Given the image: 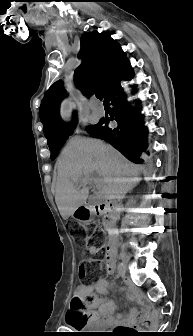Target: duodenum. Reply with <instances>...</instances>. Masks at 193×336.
Segmentation results:
<instances>
[{"instance_id":"obj_1","label":"duodenum","mask_w":193,"mask_h":336,"mask_svg":"<svg viewBox=\"0 0 193 336\" xmlns=\"http://www.w3.org/2000/svg\"><path fill=\"white\" fill-rule=\"evenodd\" d=\"M93 210L98 216L109 217L115 212V205L111 202H103L95 204ZM106 259L110 264H115L114 233H111L108 245L106 247Z\"/></svg>"}]
</instances>
